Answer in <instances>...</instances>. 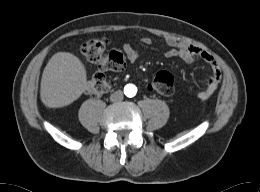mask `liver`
<instances>
[{
    "label": "liver",
    "instance_id": "6515ba94",
    "mask_svg": "<svg viewBox=\"0 0 260 192\" xmlns=\"http://www.w3.org/2000/svg\"><path fill=\"white\" fill-rule=\"evenodd\" d=\"M87 75L81 60L69 52H57L44 68L40 96L49 108L64 107L85 91Z\"/></svg>",
    "mask_w": 260,
    "mask_h": 192
}]
</instances>
